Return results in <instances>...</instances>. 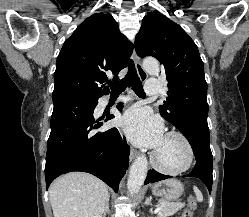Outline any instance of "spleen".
I'll use <instances>...</instances> for the list:
<instances>
[{"instance_id":"spleen-1","label":"spleen","mask_w":249,"mask_h":217,"mask_svg":"<svg viewBox=\"0 0 249 217\" xmlns=\"http://www.w3.org/2000/svg\"><path fill=\"white\" fill-rule=\"evenodd\" d=\"M193 190H194V193L196 194L197 201L202 202L203 195H202L201 191L196 186L193 187Z\"/></svg>"}]
</instances>
